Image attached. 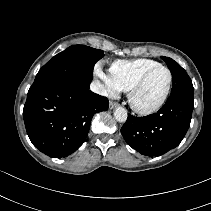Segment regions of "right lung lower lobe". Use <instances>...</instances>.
I'll return each mask as SVG.
<instances>
[{
    "label": "right lung lower lobe",
    "instance_id": "obj_1",
    "mask_svg": "<svg viewBox=\"0 0 211 211\" xmlns=\"http://www.w3.org/2000/svg\"><path fill=\"white\" fill-rule=\"evenodd\" d=\"M108 106V99L89 87L62 81L33 83L23 109L26 131L42 153L67 157L85 141L93 115Z\"/></svg>",
    "mask_w": 211,
    "mask_h": 211
}]
</instances>
